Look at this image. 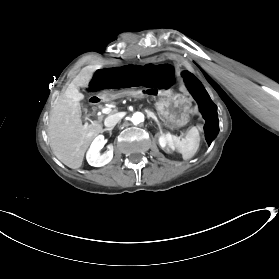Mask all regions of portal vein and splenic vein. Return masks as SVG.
<instances>
[{
    "label": "portal vein and splenic vein",
    "instance_id": "18ae733b",
    "mask_svg": "<svg viewBox=\"0 0 279 279\" xmlns=\"http://www.w3.org/2000/svg\"><path fill=\"white\" fill-rule=\"evenodd\" d=\"M110 112V108H103L101 109L102 114H108Z\"/></svg>",
    "mask_w": 279,
    "mask_h": 279
}]
</instances>
